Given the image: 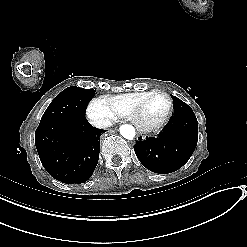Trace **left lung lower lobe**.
<instances>
[{
  "instance_id": "0a47b994",
  "label": "left lung lower lobe",
  "mask_w": 247,
  "mask_h": 247,
  "mask_svg": "<svg viewBox=\"0 0 247 247\" xmlns=\"http://www.w3.org/2000/svg\"><path fill=\"white\" fill-rule=\"evenodd\" d=\"M198 141V122L193 111L174 114L157 137H146L134 145L137 158L148 170L167 174L182 167Z\"/></svg>"
}]
</instances>
